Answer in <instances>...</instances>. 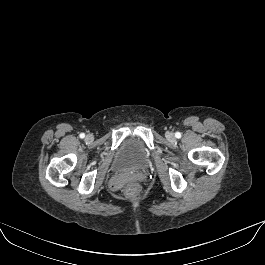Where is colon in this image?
<instances>
[{"instance_id":"5ec220e1","label":"colon","mask_w":265,"mask_h":265,"mask_svg":"<svg viewBox=\"0 0 265 265\" xmlns=\"http://www.w3.org/2000/svg\"><path fill=\"white\" fill-rule=\"evenodd\" d=\"M125 195L129 198H133L138 194V188L135 185L127 186L124 190Z\"/></svg>"}]
</instances>
